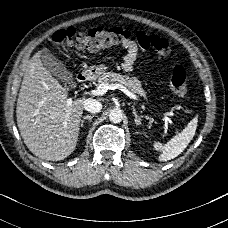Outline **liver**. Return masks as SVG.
<instances>
[{"instance_id":"obj_1","label":"liver","mask_w":228,"mask_h":228,"mask_svg":"<svg viewBox=\"0 0 228 228\" xmlns=\"http://www.w3.org/2000/svg\"><path fill=\"white\" fill-rule=\"evenodd\" d=\"M41 52L30 59L23 77L16 107L17 125L35 156L59 161L76 147L85 98H68L66 88L43 66Z\"/></svg>"}]
</instances>
